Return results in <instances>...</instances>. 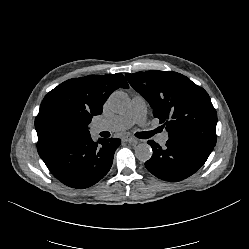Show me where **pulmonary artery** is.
<instances>
[{
  "label": "pulmonary artery",
  "mask_w": 249,
  "mask_h": 249,
  "mask_svg": "<svg viewBox=\"0 0 249 249\" xmlns=\"http://www.w3.org/2000/svg\"><path fill=\"white\" fill-rule=\"evenodd\" d=\"M147 116V105L141 95H135L127 112L103 119L91 125V133L98 134L103 131H123L134 124L145 126ZM169 134L164 131L157 135V142L164 146L168 141Z\"/></svg>",
  "instance_id": "e3ab8cb5"
}]
</instances>
